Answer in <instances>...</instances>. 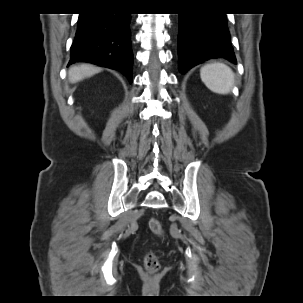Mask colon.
I'll list each match as a JSON object with an SVG mask.
<instances>
[{
    "mask_svg": "<svg viewBox=\"0 0 303 303\" xmlns=\"http://www.w3.org/2000/svg\"><path fill=\"white\" fill-rule=\"evenodd\" d=\"M149 227L153 233L160 235V236L165 235L162 225L157 219H151L149 222ZM143 261H144V265H145L146 269L149 272L155 273L159 270V267H160L159 259H158L157 254L154 251H152V250L147 251L144 255Z\"/></svg>",
    "mask_w": 303,
    "mask_h": 303,
    "instance_id": "5ec220e1",
    "label": "colon"
}]
</instances>
